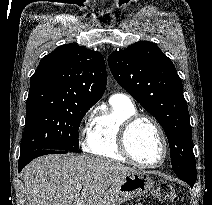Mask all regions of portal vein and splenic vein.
Wrapping results in <instances>:
<instances>
[{
  "mask_svg": "<svg viewBox=\"0 0 212 205\" xmlns=\"http://www.w3.org/2000/svg\"><path fill=\"white\" fill-rule=\"evenodd\" d=\"M81 188H82V186H81V185L77 186V189H78V190H80Z\"/></svg>",
  "mask_w": 212,
  "mask_h": 205,
  "instance_id": "obj_1",
  "label": "portal vein and splenic vein"
}]
</instances>
